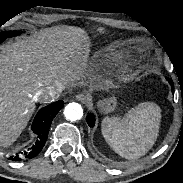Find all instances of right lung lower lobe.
Wrapping results in <instances>:
<instances>
[{"label":"right lung lower lobe","instance_id":"98d812e1","mask_svg":"<svg viewBox=\"0 0 183 183\" xmlns=\"http://www.w3.org/2000/svg\"><path fill=\"white\" fill-rule=\"evenodd\" d=\"M63 105V101L54 102L42 108L35 116L31 129L34 133L38 135L39 139L36 141L35 145L32 147V150L28 154L29 158L35 157L42 150L47 140L51 122L60 111V109L63 107ZM13 160L19 159H17V157H14Z\"/></svg>","mask_w":183,"mask_h":183}]
</instances>
